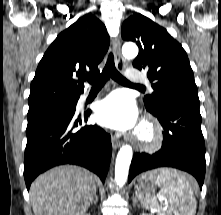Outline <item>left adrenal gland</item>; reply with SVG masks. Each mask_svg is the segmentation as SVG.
<instances>
[{
	"mask_svg": "<svg viewBox=\"0 0 221 215\" xmlns=\"http://www.w3.org/2000/svg\"><path fill=\"white\" fill-rule=\"evenodd\" d=\"M136 203H137V200H136V198H135V197H133V206H135V205H136Z\"/></svg>",
	"mask_w": 221,
	"mask_h": 215,
	"instance_id": "left-adrenal-gland-1",
	"label": "left adrenal gland"
}]
</instances>
